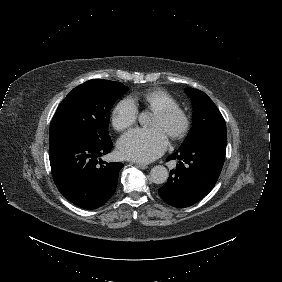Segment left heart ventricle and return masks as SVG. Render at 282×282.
Masks as SVG:
<instances>
[{
  "mask_svg": "<svg viewBox=\"0 0 282 282\" xmlns=\"http://www.w3.org/2000/svg\"><path fill=\"white\" fill-rule=\"evenodd\" d=\"M150 126L154 128L159 127L166 133L171 127L170 124H168L166 121H164L160 116H158L155 113L153 114Z\"/></svg>",
  "mask_w": 282,
  "mask_h": 282,
  "instance_id": "left-heart-ventricle-1",
  "label": "left heart ventricle"
}]
</instances>
